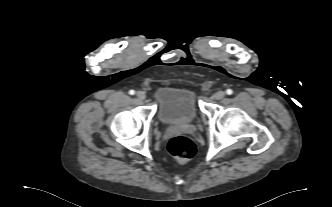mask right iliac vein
<instances>
[{"label": "right iliac vein", "mask_w": 332, "mask_h": 207, "mask_svg": "<svg viewBox=\"0 0 332 207\" xmlns=\"http://www.w3.org/2000/svg\"><path fill=\"white\" fill-rule=\"evenodd\" d=\"M136 96L139 100H144L146 98V94L143 91L137 92Z\"/></svg>", "instance_id": "1"}]
</instances>
